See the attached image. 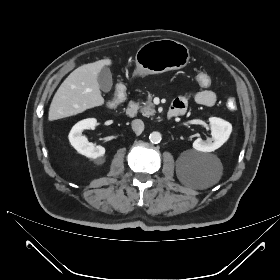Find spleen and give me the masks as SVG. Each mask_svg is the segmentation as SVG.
Returning <instances> with one entry per match:
<instances>
[{
    "mask_svg": "<svg viewBox=\"0 0 280 280\" xmlns=\"http://www.w3.org/2000/svg\"><path fill=\"white\" fill-rule=\"evenodd\" d=\"M216 182H217V180H214V181L210 182L207 186H210V185H212V184H214Z\"/></svg>",
    "mask_w": 280,
    "mask_h": 280,
    "instance_id": "1",
    "label": "spleen"
}]
</instances>
